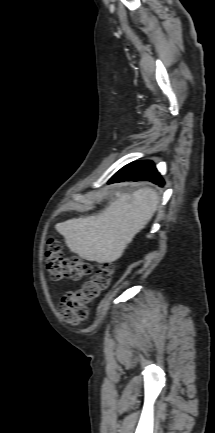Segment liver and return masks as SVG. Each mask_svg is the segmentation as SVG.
<instances>
[{
  "label": "liver",
  "instance_id": "liver-1",
  "mask_svg": "<svg viewBox=\"0 0 215 433\" xmlns=\"http://www.w3.org/2000/svg\"><path fill=\"white\" fill-rule=\"evenodd\" d=\"M116 200L102 212L56 224L66 245L87 261L111 263L119 259L134 236L151 220L160 197L151 188L133 195L115 192Z\"/></svg>",
  "mask_w": 215,
  "mask_h": 433
}]
</instances>
